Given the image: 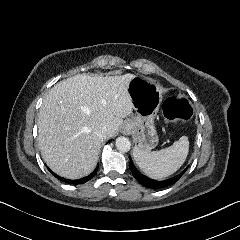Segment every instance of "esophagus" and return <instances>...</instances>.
I'll return each mask as SVG.
<instances>
[{
  "label": "esophagus",
  "instance_id": "1",
  "mask_svg": "<svg viewBox=\"0 0 240 240\" xmlns=\"http://www.w3.org/2000/svg\"><path fill=\"white\" fill-rule=\"evenodd\" d=\"M131 129H132V122L131 121L125 122L124 127H123V133L129 134Z\"/></svg>",
  "mask_w": 240,
  "mask_h": 240
}]
</instances>
